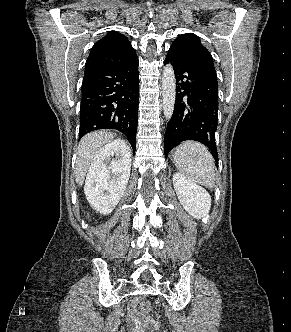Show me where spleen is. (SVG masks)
<instances>
[{
  "label": "spleen",
  "mask_w": 291,
  "mask_h": 332,
  "mask_svg": "<svg viewBox=\"0 0 291 332\" xmlns=\"http://www.w3.org/2000/svg\"><path fill=\"white\" fill-rule=\"evenodd\" d=\"M177 169L190 181L208 188L215 186V163L209 150L199 142L181 143L173 153Z\"/></svg>",
  "instance_id": "spleen-1"
}]
</instances>
